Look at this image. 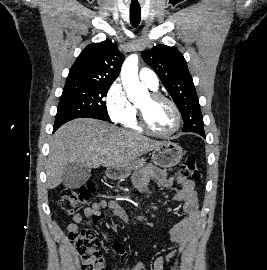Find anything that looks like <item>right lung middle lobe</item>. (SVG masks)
I'll return each instance as SVG.
<instances>
[{
    "mask_svg": "<svg viewBox=\"0 0 267 270\" xmlns=\"http://www.w3.org/2000/svg\"><path fill=\"white\" fill-rule=\"evenodd\" d=\"M111 85L98 82H66L55 122L75 118H99L110 121L104 97Z\"/></svg>",
    "mask_w": 267,
    "mask_h": 270,
    "instance_id": "obj_1",
    "label": "right lung middle lobe"
}]
</instances>
